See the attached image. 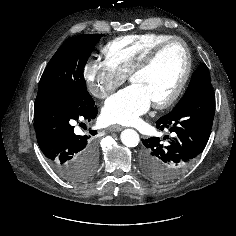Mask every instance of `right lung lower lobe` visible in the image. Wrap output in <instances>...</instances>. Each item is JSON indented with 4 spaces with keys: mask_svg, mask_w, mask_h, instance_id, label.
<instances>
[{
    "mask_svg": "<svg viewBox=\"0 0 236 236\" xmlns=\"http://www.w3.org/2000/svg\"><path fill=\"white\" fill-rule=\"evenodd\" d=\"M95 103L76 106L54 98L34 103V123L39 147L54 170L65 180L79 182L80 169L97 158L96 130L78 135L76 121L94 119Z\"/></svg>",
    "mask_w": 236,
    "mask_h": 236,
    "instance_id": "98d812e1",
    "label": "right lung lower lobe"
}]
</instances>
